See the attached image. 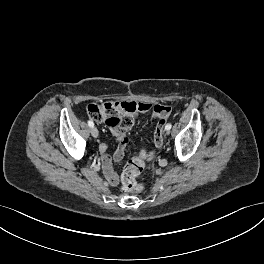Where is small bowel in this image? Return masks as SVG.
Segmentation results:
<instances>
[{"label":"small bowel","mask_w":264,"mask_h":264,"mask_svg":"<svg viewBox=\"0 0 264 264\" xmlns=\"http://www.w3.org/2000/svg\"><path fill=\"white\" fill-rule=\"evenodd\" d=\"M127 104H134L136 106V111L134 112L135 115L143 114L147 112H151L153 118L158 120H165L169 118L171 114V107L167 105L161 104H151L147 102H124ZM112 132L116 137L117 141L120 143L118 149L113 155L107 153V145L102 143L99 147V151L101 154L102 166L104 170L105 177L109 184L117 185L118 183V175L113 169L112 163L113 161L119 162L122 160L124 156V148L127 144H129L130 140L125 135L123 131L113 130ZM156 147H160L161 145L155 144Z\"/></svg>","instance_id":"obj_1"}]
</instances>
